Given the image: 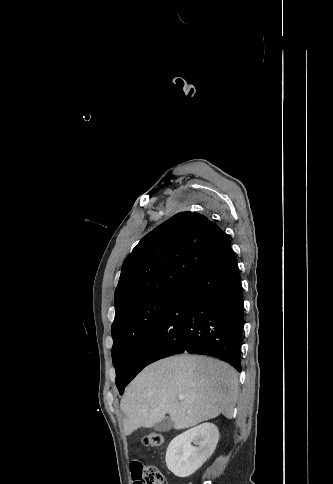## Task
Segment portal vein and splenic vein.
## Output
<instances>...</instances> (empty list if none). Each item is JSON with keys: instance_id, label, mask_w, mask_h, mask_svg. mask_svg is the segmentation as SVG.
<instances>
[{"instance_id": "1", "label": "portal vein and splenic vein", "mask_w": 333, "mask_h": 484, "mask_svg": "<svg viewBox=\"0 0 333 484\" xmlns=\"http://www.w3.org/2000/svg\"><path fill=\"white\" fill-rule=\"evenodd\" d=\"M183 399H184V397H183V396H179V400H183Z\"/></svg>"}]
</instances>
